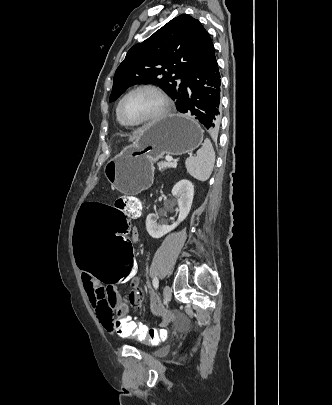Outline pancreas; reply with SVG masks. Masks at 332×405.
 Returning a JSON list of instances; mask_svg holds the SVG:
<instances>
[{
  "mask_svg": "<svg viewBox=\"0 0 332 405\" xmlns=\"http://www.w3.org/2000/svg\"><path fill=\"white\" fill-rule=\"evenodd\" d=\"M158 168L160 170H165L167 168H171L170 163L169 162H165V161H161L157 164Z\"/></svg>",
  "mask_w": 332,
  "mask_h": 405,
  "instance_id": "cf45deb5",
  "label": "pancreas"
}]
</instances>
